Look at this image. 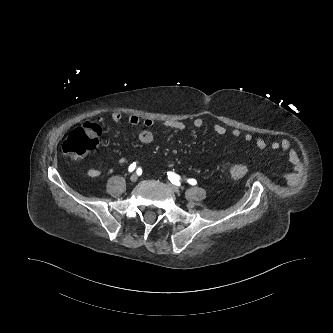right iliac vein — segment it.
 Listing matches in <instances>:
<instances>
[{
  "label": "right iliac vein",
  "instance_id": "1",
  "mask_svg": "<svg viewBox=\"0 0 333 333\" xmlns=\"http://www.w3.org/2000/svg\"><path fill=\"white\" fill-rule=\"evenodd\" d=\"M131 182L135 183L138 180V175L137 174H132L130 177Z\"/></svg>",
  "mask_w": 333,
  "mask_h": 333
}]
</instances>
